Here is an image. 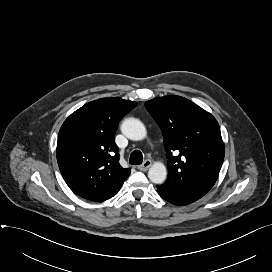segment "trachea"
I'll list each match as a JSON object with an SVG mask.
<instances>
[{"instance_id":"obj_1","label":"trachea","mask_w":272,"mask_h":272,"mask_svg":"<svg viewBox=\"0 0 272 272\" xmlns=\"http://www.w3.org/2000/svg\"><path fill=\"white\" fill-rule=\"evenodd\" d=\"M142 162H143V155L141 151L134 150L130 155L129 163L131 165H140Z\"/></svg>"}]
</instances>
